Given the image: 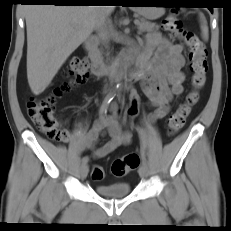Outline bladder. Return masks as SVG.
Returning a JSON list of instances; mask_svg holds the SVG:
<instances>
[{
	"label": "bladder",
	"instance_id": "31cf9c89",
	"mask_svg": "<svg viewBox=\"0 0 231 231\" xmlns=\"http://www.w3.org/2000/svg\"><path fill=\"white\" fill-rule=\"evenodd\" d=\"M96 192L105 198H124L130 193L128 183L98 184L95 187Z\"/></svg>",
	"mask_w": 231,
	"mask_h": 231
}]
</instances>
